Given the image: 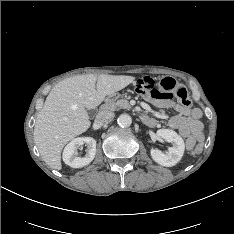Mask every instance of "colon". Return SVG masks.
I'll use <instances>...</instances> for the list:
<instances>
[{"mask_svg": "<svg viewBox=\"0 0 234 234\" xmlns=\"http://www.w3.org/2000/svg\"><path fill=\"white\" fill-rule=\"evenodd\" d=\"M136 89L140 93H149L154 98H177L181 105L189 107L191 105V99L187 92V89L175 79L171 77L163 78L158 85L150 77H142L136 82ZM191 149L196 154L200 153L202 146L200 144H193Z\"/></svg>", "mask_w": 234, "mask_h": 234, "instance_id": "1", "label": "colon"}]
</instances>
